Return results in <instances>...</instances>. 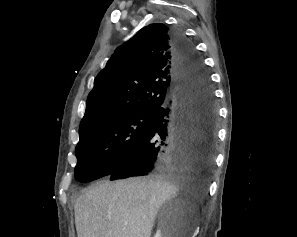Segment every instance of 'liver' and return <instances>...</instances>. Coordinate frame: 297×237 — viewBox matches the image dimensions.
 <instances>
[{
  "instance_id": "obj_1",
  "label": "liver",
  "mask_w": 297,
  "mask_h": 237,
  "mask_svg": "<svg viewBox=\"0 0 297 237\" xmlns=\"http://www.w3.org/2000/svg\"><path fill=\"white\" fill-rule=\"evenodd\" d=\"M191 184L180 174L98 182L76 201L77 236L150 237L160 206Z\"/></svg>"
}]
</instances>
